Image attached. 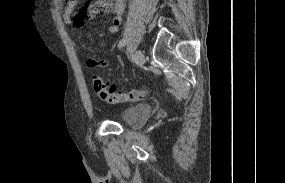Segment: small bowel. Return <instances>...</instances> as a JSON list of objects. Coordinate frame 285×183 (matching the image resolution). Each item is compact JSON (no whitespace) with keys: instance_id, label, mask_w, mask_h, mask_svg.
Wrapping results in <instances>:
<instances>
[{"instance_id":"1","label":"small bowel","mask_w":285,"mask_h":183,"mask_svg":"<svg viewBox=\"0 0 285 183\" xmlns=\"http://www.w3.org/2000/svg\"><path fill=\"white\" fill-rule=\"evenodd\" d=\"M76 5V1L67 3L63 14L65 21L75 29H81L87 19L94 18L100 14L111 13L113 19L108 27V31L111 35L117 34L125 8V0H96L88 4L81 13L74 16ZM86 64L89 68L103 69L108 67L110 62L105 59L98 60L89 56L86 58Z\"/></svg>"}]
</instances>
